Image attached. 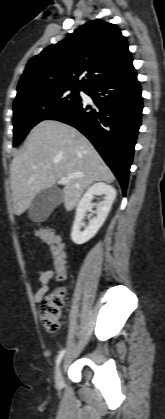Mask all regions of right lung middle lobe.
<instances>
[{
  "label": "right lung middle lobe",
  "instance_id": "obj_1",
  "mask_svg": "<svg viewBox=\"0 0 165 419\" xmlns=\"http://www.w3.org/2000/svg\"><path fill=\"white\" fill-rule=\"evenodd\" d=\"M76 88L48 89L14 101V144L17 146L30 129L52 114L77 104L81 98Z\"/></svg>",
  "mask_w": 165,
  "mask_h": 419
}]
</instances>
